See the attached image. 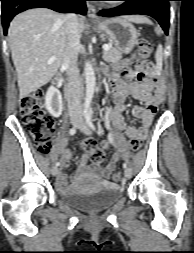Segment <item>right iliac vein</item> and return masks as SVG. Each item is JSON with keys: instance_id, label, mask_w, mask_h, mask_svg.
<instances>
[{"instance_id": "obj_1", "label": "right iliac vein", "mask_w": 194, "mask_h": 253, "mask_svg": "<svg viewBox=\"0 0 194 253\" xmlns=\"http://www.w3.org/2000/svg\"><path fill=\"white\" fill-rule=\"evenodd\" d=\"M72 124L74 126H77L79 124V121L77 119H75V120L72 121ZM58 172H59V169L57 167H53L52 170H51V174L53 176H56L58 174Z\"/></svg>"}]
</instances>
